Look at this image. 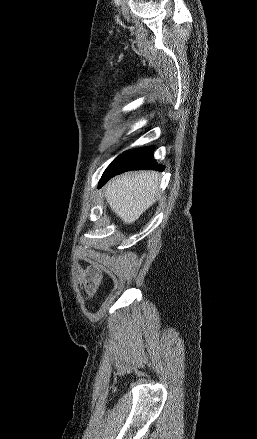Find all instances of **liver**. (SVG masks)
<instances>
[{
  "label": "liver",
  "mask_w": 257,
  "mask_h": 439,
  "mask_svg": "<svg viewBox=\"0 0 257 439\" xmlns=\"http://www.w3.org/2000/svg\"><path fill=\"white\" fill-rule=\"evenodd\" d=\"M158 180L154 171L125 173L108 183L105 198L124 223L132 224L156 201Z\"/></svg>",
  "instance_id": "6515ba94"
}]
</instances>
